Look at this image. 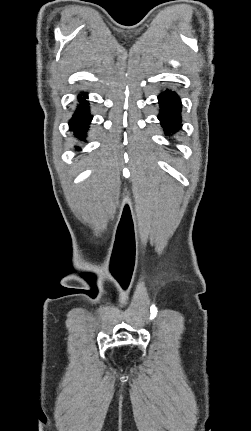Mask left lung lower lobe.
<instances>
[{
	"label": "left lung lower lobe",
	"instance_id": "obj_1",
	"mask_svg": "<svg viewBox=\"0 0 251 431\" xmlns=\"http://www.w3.org/2000/svg\"><path fill=\"white\" fill-rule=\"evenodd\" d=\"M160 113L158 119L165 130L166 135L177 132L181 128V100L179 96L166 90L159 96Z\"/></svg>",
	"mask_w": 251,
	"mask_h": 431
}]
</instances>
